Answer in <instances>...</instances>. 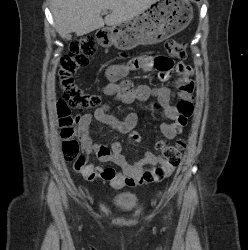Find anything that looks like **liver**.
I'll return each mask as SVG.
<instances>
[{
	"mask_svg": "<svg viewBox=\"0 0 248 250\" xmlns=\"http://www.w3.org/2000/svg\"><path fill=\"white\" fill-rule=\"evenodd\" d=\"M157 0H51L56 30L62 38L75 33L83 36L96 29L131 21ZM110 10L103 19L100 14Z\"/></svg>",
	"mask_w": 248,
	"mask_h": 250,
	"instance_id": "6515ba94",
	"label": "liver"
}]
</instances>
